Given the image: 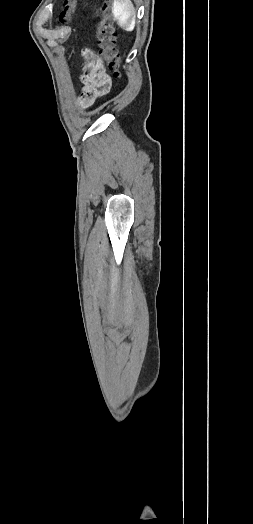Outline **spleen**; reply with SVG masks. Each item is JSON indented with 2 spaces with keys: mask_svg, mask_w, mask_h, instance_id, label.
Returning <instances> with one entry per match:
<instances>
[{
  "mask_svg": "<svg viewBox=\"0 0 253 524\" xmlns=\"http://www.w3.org/2000/svg\"><path fill=\"white\" fill-rule=\"evenodd\" d=\"M112 13L122 29L129 32L134 30L135 10L130 0H114Z\"/></svg>",
  "mask_w": 253,
  "mask_h": 524,
  "instance_id": "1",
  "label": "spleen"
}]
</instances>
